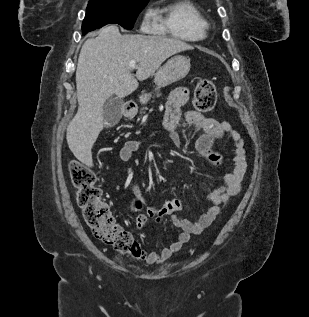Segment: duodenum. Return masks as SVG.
Returning <instances> with one entry per match:
<instances>
[{
	"mask_svg": "<svg viewBox=\"0 0 309 317\" xmlns=\"http://www.w3.org/2000/svg\"><path fill=\"white\" fill-rule=\"evenodd\" d=\"M134 113H135V104L133 103L126 104L124 107V115L126 117H131L134 115Z\"/></svg>",
	"mask_w": 309,
	"mask_h": 317,
	"instance_id": "duodenum-1",
	"label": "duodenum"
}]
</instances>
